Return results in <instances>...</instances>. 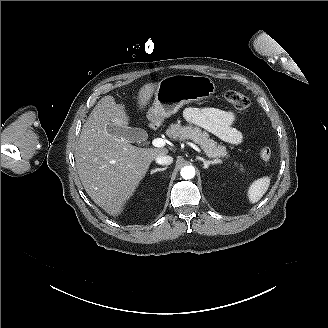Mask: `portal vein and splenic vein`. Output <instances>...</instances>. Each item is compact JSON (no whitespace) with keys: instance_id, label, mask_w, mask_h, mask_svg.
Instances as JSON below:
<instances>
[{"instance_id":"1","label":"portal vein and splenic vein","mask_w":328,"mask_h":328,"mask_svg":"<svg viewBox=\"0 0 328 328\" xmlns=\"http://www.w3.org/2000/svg\"><path fill=\"white\" fill-rule=\"evenodd\" d=\"M152 145L157 148H161L164 146V141L161 138H154L152 140ZM188 145H191V147H194L195 150H197L198 154H201V150L198 149V146H195L194 143L188 142Z\"/></svg>"}]
</instances>
